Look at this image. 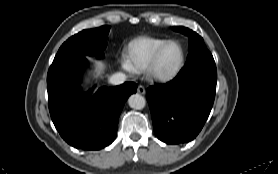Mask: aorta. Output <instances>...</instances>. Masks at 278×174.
I'll return each mask as SVG.
<instances>
[{"label":"aorta","instance_id":"762f6f07","mask_svg":"<svg viewBox=\"0 0 278 174\" xmlns=\"http://www.w3.org/2000/svg\"><path fill=\"white\" fill-rule=\"evenodd\" d=\"M128 104L131 108L135 110H141L146 105L145 98L140 94H133L128 99Z\"/></svg>","mask_w":278,"mask_h":174}]
</instances>
